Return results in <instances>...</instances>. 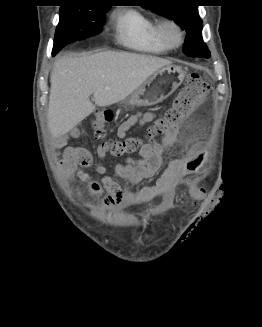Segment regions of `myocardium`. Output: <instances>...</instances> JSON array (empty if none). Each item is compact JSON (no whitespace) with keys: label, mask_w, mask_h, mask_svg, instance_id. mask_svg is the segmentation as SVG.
Here are the masks:
<instances>
[{"label":"myocardium","mask_w":262,"mask_h":327,"mask_svg":"<svg viewBox=\"0 0 262 327\" xmlns=\"http://www.w3.org/2000/svg\"><path fill=\"white\" fill-rule=\"evenodd\" d=\"M159 32L162 39L170 47H178L184 40V30L182 26L172 19H166L159 23Z\"/></svg>","instance_id":"obj_1"}]
</instances>
